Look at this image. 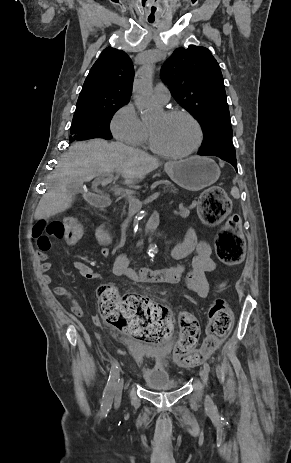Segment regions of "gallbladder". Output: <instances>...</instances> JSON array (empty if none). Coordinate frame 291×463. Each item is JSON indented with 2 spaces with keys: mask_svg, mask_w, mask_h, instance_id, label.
I'll use <instances>...</instances> for the list:
<instances>
[{
  "mask_svg": "<svg viewBox=\"0 0 291 463\" xmlns=\"http://www.w3.org/2000/svg\"><path fill=\"white\" fill-rule=\"evenodd\" d=\"M67 188H68V190L70 192H79V191H81V189L76 184H69Z\"/></svg>",
  "mask_w": 291,
  "mask_h": 463,
  "instance_id": "1",
  "label": "gallbladder"
}]
</instances>
